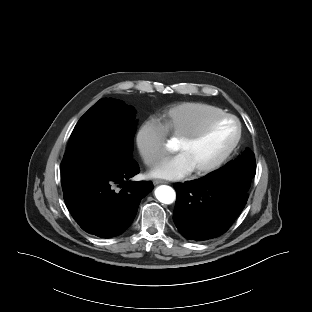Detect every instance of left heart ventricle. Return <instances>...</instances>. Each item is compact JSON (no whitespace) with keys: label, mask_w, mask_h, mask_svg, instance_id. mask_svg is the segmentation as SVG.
<instances>
[{"label":"left heart ventricle","mask_w":312,"mask_h":312,"mask_svg":"<svg viewBox=\"0 0 312 312\" xmlns=\"http://www.w3.org/2000/svg\"><path fill=\"white\" fill-rule=\"evenodd\" d=\"M237 134L233 120L223 119L214 123L197 141L177 144V151L186 156L194 170L216 161L230 147Z\"/></svg>","instance_id":"left-heart-ventricle-1"}]
</instances>
